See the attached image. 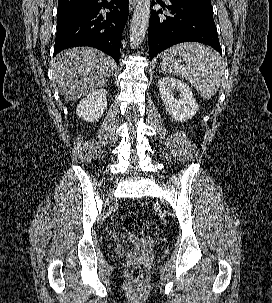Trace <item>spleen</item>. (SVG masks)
I'll list each match as a JSON object with an SVG mask.
<instances>
[{"label":"spleen","instance_id":"spleen-1","mask_svg":"<svg viewBox=\"0 0 272 303\" xmlns=\"http://www.w3.org/2000/svg\"><path fill=\"white\" fill-rule=\"evenodd\" d=\"M177 54L185 64L174 59ZM162 69L188 80L207 100L217 93L224 73L221 58L209 47L196 42L177 44L164 51Z\"/></svg>","mask_w":272,"mask_h":303}]
</instances>
